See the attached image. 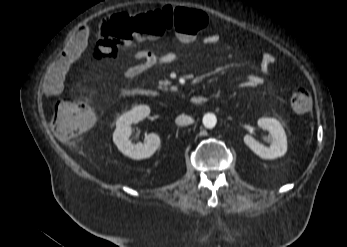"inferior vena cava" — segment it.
I'll list each match as a JSON object with an SVG mask.
<instances>
[{
    "label": "inferior vena cava",
    "mask_w": 347,
    "mask_h": 247,
    "mask_svg": "<svg viewBox=\"0 0 347 247\" xmlns=\"http://www.w3.org/2000/svg\"><path fill=\"white\" fill-rule=\"evenodd\" d=\"M194 122V120L187 115H179L176 119H175V123L179 126H187L190 125Z\"/></svg>",
    "instance_id": "602c4592"
}]
</instances>
